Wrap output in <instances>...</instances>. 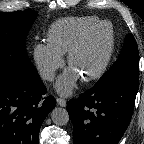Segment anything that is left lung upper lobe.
<instances>
[{"label": "left lung upper lobe", "mask_w": 144, "mask_h": 144, "mask_svg": "<svg viewBox=\"0 0 144 144\" xmlns=\"http://www.w3.org/2000/svg\"><path fill=\"white\" fill-rule=\"evenodd\" d=\"M138 47L132 34L125 38L118 60L98 81L99 85L114 87L124 82L139 81Z\"/></svg>", "instance_id": "left-lung-upper-lobe-1"}]
</instances>
